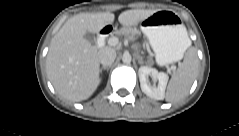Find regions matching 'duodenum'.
<instances>
[{
    "label": "duodenum",
    "instance_id": "1",
    "mask_svg": "<svg viewBox=\"0 0 239 136\" xmlns=\"http://www.w3.org/2000/svg\"><path fill=\"white\" fill-rule=\"evenodd\" d=\"M113 29V26L110 24L103 26L98 32L96 46H102L106 38L113 32Z\"/></svg>",
    "mask_w": 239,
    "mask_h": 136
}]
</instances>
